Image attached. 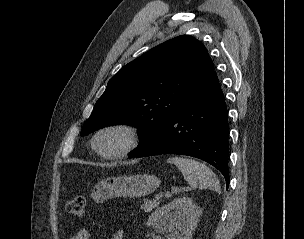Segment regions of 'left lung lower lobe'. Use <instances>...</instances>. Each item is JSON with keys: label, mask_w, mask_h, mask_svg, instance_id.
<instances>
[{"label": "left lung lower lobe", "mask_w": 304, "mask_h": 239, "mask_svg": "<svg viewBox=\"0 0 304 239\" xmlns=\"http://www.w3.org/2000/svg\"><path fill=\"white\" fill-rule=\"evenodd\" d=\"M229 125L216 72L177 111L168 125L133 157L181 154L202 159L217 168L229 184Z\"/></svg>", "instance_id": "0a47b994"}]
</instances>
